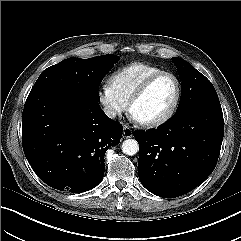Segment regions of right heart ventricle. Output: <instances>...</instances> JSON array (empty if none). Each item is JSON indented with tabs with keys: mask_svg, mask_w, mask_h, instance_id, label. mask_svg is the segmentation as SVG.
<instances>
[{
	"mask_svg": "<svg viewBox=\"0 0 241 241\" xmlns=\"http://www.w3.org/2000/svg\"><path fill=\"white\" fill-rule=\"evenodd\" d=\"M162 71L161 68L143 62H134L115 71L110 83L117 93L127 102L139 86L151 75Z\"/></svg>",
	"mask_w": 241,
	"mask_h": 241,
	"instance_id": "right-heart-ventricle-1",
	"label": "right heart ventricle"
}]
</instances>
